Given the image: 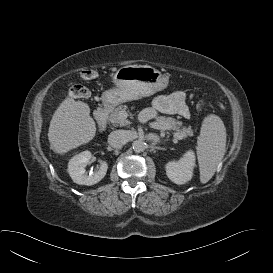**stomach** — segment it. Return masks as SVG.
<instances>
[{"label": "stomach", "mask_w": 273, "mask_h": 273, "mask_svg": "<svg viewBox=\"0 0 273 273\" xmlns=\"http://www.w3.org/2000/svg\"><path fill=\"white\" fill-rule=\"evenodd\" d=\"M113 82L115 88L102 94L103 104L107 108L162 91L168 86L169 77L152 66L131 65L118 69Z\"/></svg>", "instance_id": "0dacf381"}]
</instances>
